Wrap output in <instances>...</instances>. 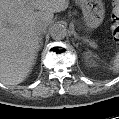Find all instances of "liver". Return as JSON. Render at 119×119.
Returning <instances> with one entry per match:
<instances>
[{"mask_svg":"<svg viewBox=\"0 0 119 119\" xmlns=\"http://www.w3.org/2000/svg\"><path fill=\"white\" fill-rule=\"evenodd\" d=\"M67 6L68 0H0V82L17 85L28 77L39 51L36 26H48Z\"/></svg>","mask_w":119,"mask_h":119,"instance_id":"6515ba94","label":"liver"}]
</instances>
